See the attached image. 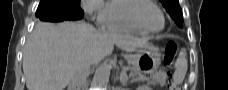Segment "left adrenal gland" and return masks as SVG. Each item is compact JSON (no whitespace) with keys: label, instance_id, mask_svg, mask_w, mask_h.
Wrapping results in <instances>:
<instances>
[{"label":"left adrenal gland","instance_id":"obj_1","mask_svg":"<svg viewBox=\"0 0 228 90\" xmlns=\"http://www.w3.org/2000/svg\"><path fill=\"white\" fill-rule=\"evenodd\" d=\"M121 84L123 86H126L127 85V79H121Z\"/></svg>","mask_w":228,"mask_h":90}]
</instances>
